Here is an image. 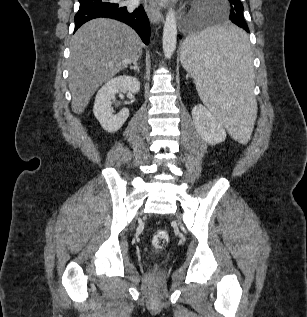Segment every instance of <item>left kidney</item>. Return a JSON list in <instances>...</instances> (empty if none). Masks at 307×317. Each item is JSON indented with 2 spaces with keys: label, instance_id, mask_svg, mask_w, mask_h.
<instances>
[{
  "label": "left kidney",
  "instance_id": "left-kidney-1",
  "mask_svg": "<svg viewBox=\"0 0 307 317\" xmlns=\"http://www.w3.org/2000/svg\"><path fill=\"white\" fill-rule=\"evenodd\" d=\"M192 118L197 132L207 143L217 144L226 139L222 124L203 105H196L192 109Z\"/></svg>",
  "mask_w": 307,
  "mask_h": 317
}]
</instances>
